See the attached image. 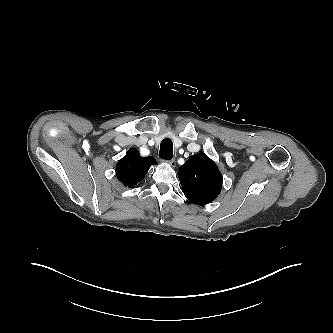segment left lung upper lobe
Returning a JSON list of instances; mask_svg holds the SVG:
<instances>
[{
    "mask_svg": "<svg viewBox=\"0 0 333 333\" xmlns=\"http://www.w3.org/2000/svg\"><path fill=\"white\" fill-rule=\"evenodd\" d=\"M181 190L191 202L205 205L212 202L222 188V176L215 163L203 152L191 156L180 166Z\"/></svg>",
    "mask_w": 333,
    "mask_h": 333,
    "instance_id": "5c2ea615",
    "label": "left lung upper lobe"
}]
</instances>
